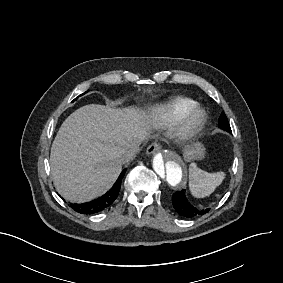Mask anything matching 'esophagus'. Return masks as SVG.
I'll return each mask as SVG.
<instances>
[{
	"label": "esophagus",
	"instance_id": "obj_1",
	"mask_svg": "<svg viewBox=\"0 0 283 283\" xmlns=\"http://www.w3.org/2000/svg\"><path fill=\"white\" fill-rule=\"evenodd\" d=\"M160 149H161V146L157 142H153L148 146L146 153L148 156H150L160 151ZM170 155H172L176 159L178 158L177 154H175L174 152H170Z\"/></svg>",
	"mask_w": 283,
	"mask_h": 283
}]
</instances>
